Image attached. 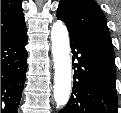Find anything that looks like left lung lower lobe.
<instances>
[{"instance_id": "1", "label": "left lung lower lobe", "mask_w": 121, "mask_h": 113, "mask_svg": "<svg viewBox=\"0 0 121 113\" xmlns=\"http://www.w3.org/2000/svg\"><path fill=\"white\" fill-rule=\"evenodd\" d=\"M74 84L59 113H117L116 67L82 40L70 34Z\"/></svg>"}]
</instances>
